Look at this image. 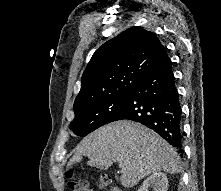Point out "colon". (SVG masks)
<instances>
[{
    "instance_id": "1",
    "label": "colon",
    "mask_w": 221,
    "mask_h": 191,
    "mask_svg": "<svg viewBox=\"0 0 221 191\" xmlns=\"http://www.w3.org/2000/svg\"><path fill=\"white\" fill-rule=\"evenodd\" d=\"M67 178L70 191H92L88 182L81 177L74 176L72 171L67 172ZM111 182V178L107 175H101L99 178V183L103 187L109 186Z\"/></svg>"
}]
</instances>
